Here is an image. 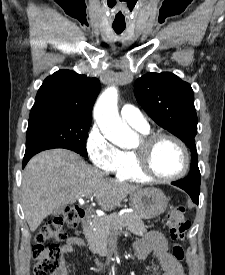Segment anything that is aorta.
<instances>
[{"label":"aorta","mask_w":225,"mask_h":275,"mask_svg":"<svg viewBox=\"0 0 225 275\" xmlns=\"http://www.w3.org/2000/svg\"><path fill=\"white\" fill-rule=\"evenodd\" d=\"M117 102V88L108 87L97 100L94 118L107 139L121 148H131L137 142V135L121 120Z\"/></svg>","instance_id":"obj_1"}]
</instances>
